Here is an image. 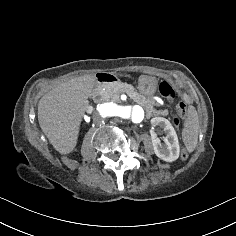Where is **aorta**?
I'll return each instance as SVG.
<instances>
[{
    "label": "aorta",
    "mask_w": 236,
    "mask_h": 236,
    "mask_svg": "<svg viewBox=\"0 0 236 236\" xmlns=\"http://www.w3.org/2000/svg\"><path fill=\"white\" fill-rule=\"evenodd\" d=\"M98 112L104 117H120L133 123H141L145 118V111L138 105L120 106L115 103H103L97 106Z\"/></svg>",
    "instance_id": "obj_1"
}]
</instances>
